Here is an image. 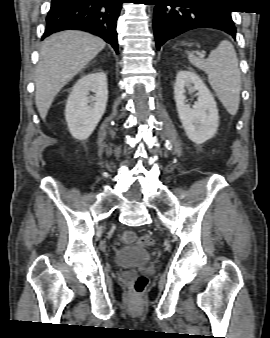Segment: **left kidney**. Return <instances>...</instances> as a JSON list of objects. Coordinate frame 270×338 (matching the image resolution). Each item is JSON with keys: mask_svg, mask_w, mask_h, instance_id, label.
Listing matches in <instances>:
<instances>
[{"mask_svg": "<svg viewBox=\"0 0 270 338\" xmlns=\"http://www.w3.org/2000/svg\"><path fill=\"white\" fill-rule=\"evenodd\" d=\"M185 88L197 91L198 98L192 106L186 103ZM174 99L182 126L191 141L202 144L216 134L219 122L216 102L196 73L191 70L177 73Z\"/></svg>", "mask_w": 270, "mask_h": 338, "instance_id": "1", "label": "left kidney"}]
</instances>
